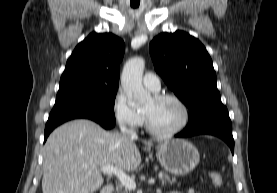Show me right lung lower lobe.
Segmentation results:
<instances>
[{
	"mask_svg": "<svg viewBox=\"0 0 277 193\" xmlns=\"http://www.w3.org/2000/svg\"><path fill=\"white\" fill-rule=\"evenodd\" d=\"M77 118H86L99 123L105 129H111L115 126V121L97 114L93 111L78 108L53 107L45 126L44 142L50 132L60 124Z\"/></svg>",
	"mask_w": 277,
	"mask_h": 193,
	"instance_id": "right-lung-lower-lobe-1",
	"label": "right lung lower lobe"
}]
</instances>
